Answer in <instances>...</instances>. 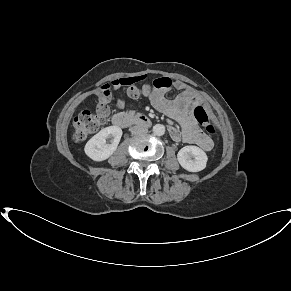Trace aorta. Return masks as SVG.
<instances>
[{
  "label": "aorta",
  "mask_w": 291,
  "mask_h": 291,
  "mask_svg": "<svg viewBox=\"0 0 291 291\" xmlns=\"http://www.w3.org/2000/svg\"><path fill=\"white\" fill-rule=\"evenodd\" d=\"M153 133L156 136H162L165 133V127L162 124H156L153 126Z\"/></svg>",
  "instance_id": "1"
}]
</instances>
